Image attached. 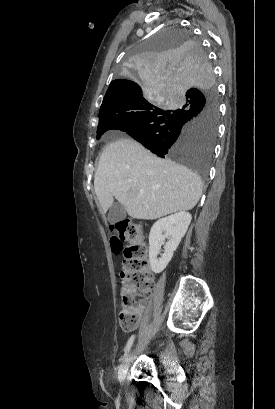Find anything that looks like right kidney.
Masks as SVG:
<instances>
[{
    "label": "right kidney",
    "mask_w": 275,
    "mask_h": 409,
    "mask_svg": "<svg viewBox=\"0 0 275 409\" xmlns=\"http://www.w3.org/2000/svg\"><path fill=\"white\" fill-rule=\"evenodd\" d=\"M191 219L190 213L180 211V213L164 217V219H159L154 223L149 235V261L153 273H162L166 269L174 251H176L182 237H184ZM165 239H168V243L164 247L163 255L158 259L160 247Z\"/></svg>",
    "instance_id": "obj_1"
}]
</instances>
